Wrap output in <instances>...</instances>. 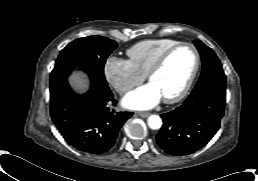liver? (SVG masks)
Segmentation results:
<instances>
[{"label": "liver", "mask_w": 258, "mask_h": 181, "mask_svg": "<svg viewBox=\"0 0 258 181\" xmlns=\"http://www.w3.org/2000/svg\"><path fill=\"white\" fill-rule=\"evenodd\" d=\"M69 81L72 87L80 92H84L88 88V81L82 73L74 72Z\"/></svg>", "instance_id": "liver-1"}]
</instances>
